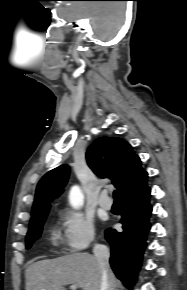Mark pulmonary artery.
Instances as JSON below:
<instances>
[{
  "label": "pulmonary artery",
  "mask_w": 187,
  "mask_h": 290,
  "mask_svg": "<svg viewBox=\"0 0 187 290\" xmlns=\"http://www.w3.org/2000/svg\"><path fill=\"white\" fill-rule=\"evenodd\" d=\"M98 204L101 208L105 209V210H110L112 208V202L111 200L108 198V195L106 192H103L99 199H98Z\"/></svg>",
  "instance_id": "e3ab8cb5"
}]
</instances>
